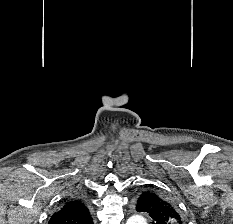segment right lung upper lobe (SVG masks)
<instances>
[{
	"label": "right lung upper lobe",
	"instance_id": "cb5924a9",
	"mask_svg": "<svg viewBox=\"0 0 233 224\" xmlns=\"http://www.w3.org/2000/svg\"><path fill=\"white\" fill-rule=\"evenodd\" d=\"M48 224H93V218L83 202L70 200L52 215Z\"/></svg>",
	"mask_w": 233,
	"mask_h": 224
}]
</instances>
